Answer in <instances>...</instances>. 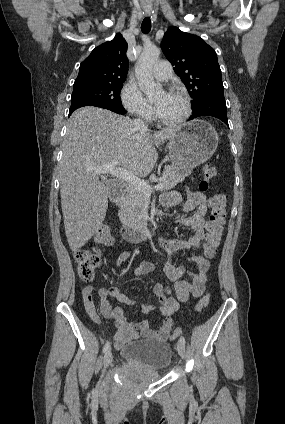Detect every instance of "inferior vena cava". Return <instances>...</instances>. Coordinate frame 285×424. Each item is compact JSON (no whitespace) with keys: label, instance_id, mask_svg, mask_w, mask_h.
<instances>
[{"label":"inferior vena cava","instance_id":"obj_1","mask_svg":"<svg viewBox=\"0 0 285 424\" xmlns=\"http://www.w3.org/2000/svg\"><path fill=\"white\" fill-rule=\"evenodd\" d=\"M134 125L136 128L146 131L148 129L147 125L145 124V122L142 119H135L133 121Z\"/></svg>","mask_w":285,"mask_h":424}]
</instances>
